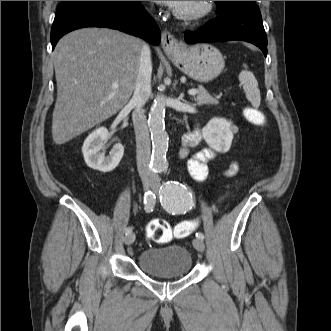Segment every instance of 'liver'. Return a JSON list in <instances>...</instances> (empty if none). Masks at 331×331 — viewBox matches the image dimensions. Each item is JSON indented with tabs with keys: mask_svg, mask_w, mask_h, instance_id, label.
Listing matches in <instances>:
<instances>
[{
	"mask_svg": "<svg viewBox=\"0 0 331 331\" xmlns=\"http://www.w3.org/2000/svg\"><path fill=\"white\" fill-rule=\"evenodd\" d=\"M142 47L139 38L107 28H83L59 40L54 50V143L70 141L127 104L135 88ZM114 83L117 89L112 88Z\"/></svg>",
	"mask_w": 331,
	"mask_h": 331,
	"instance_id": "liver-1",
	"label": "liver"
}]
</instances>
